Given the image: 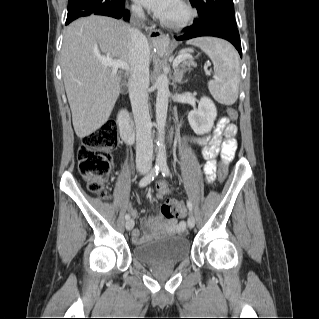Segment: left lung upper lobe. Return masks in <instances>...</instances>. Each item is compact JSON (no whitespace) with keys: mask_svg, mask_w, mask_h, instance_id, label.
<instances>
[{"mask_svg":"<svg viewBox=\"0 0 319 319\" xmlns=\"http://www.w3.org/2000/svg\"><path fill=\"white\" fill-rule=\"evenodd\" d=\"M197 8L199 18L195 23L221 21L236 25L233 0H190Z\"/></svg>","mask_w":319,"mask_h":319,"instance_id":"5c2ea615","label":"left lung upper lobe"}]
</instances>
